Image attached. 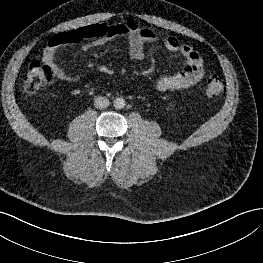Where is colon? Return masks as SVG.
Instances as JSON below:
<instances>
[{
  "label": "colon",
  "instance_id": "5ec220e1",
  "mask_svg": "<svg viewBox=\"0 0 263 263\" xmlns=\"http://www.w3.org/2000/svg\"><path fill=\"white\" fill-rule=\"evenodd\" d=\"M53 80L54 73L49 66L33 61L27 69L24 89L27 93L34 94L52 83ZM205 90L207 95L217 96L222 92L223 84L217 76H210L207 79Z\"/></svg>",
  "mask_w": 263,
  "mask_h": 263
}]
</instances>
